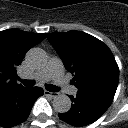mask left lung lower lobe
Segmentation results:
<instances>
[{"label": "left lung lower lobe", "instance_id": "left-lung-lower-lobe-1", "mask_svg": "<svg viewBox=\"0 0 128 128\" xmlns=\"http://www.w3.org/2000/svg\"><path fill=\"white\" fill-rule=\"evenodd\" d=\"M113 97L101 92H77V96H70L73 102L70 111L59 114V118L76 127L86 126L104 114Z\"/></svg>", "mask_w": 128, "mask_h": 128}]
</instances>
